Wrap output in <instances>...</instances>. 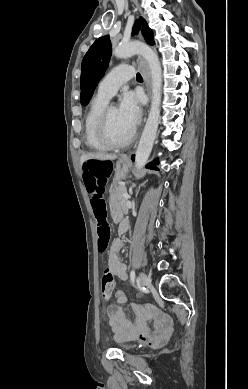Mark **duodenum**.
I'll return each mask as SVG.
<instances>
[{
    "mask_svg": "<svg viewBox=\"0 0 248 389\" xmlns=\"http://www.w3.org/2000/svg\"><path fill=\"white\" fill-rule=\"evenodd\" d=\"M124 228V226H122V229ZM121 233H124V231H121Z\"/></svg>",
    "mask_w": 248,
    "mask_h": 389,
    "instance_id": "obj_1",
    "label": "duodenum"
}]
</instances>
